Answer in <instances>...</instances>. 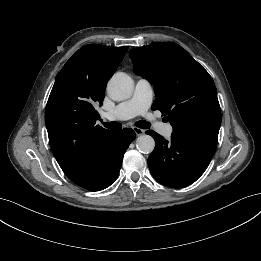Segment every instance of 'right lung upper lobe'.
<instances>
[{"label": "right lung upper lobe", "instance_id": "cb5924a9", "mask_svg": "<svg viewBox=\"0 0 261 261\" xmlns=\"http://www.w3.org/2000/svg\"><path fill=\"white\" fill-rule=\"evenodd\" d=\"M128 47L89 45L64 65L50 93L45 123L53 154L70 179L82 172L113 131L96 125L109 77Z\"/></svg>", "mask_w": 261, "mask_h": 261}]
</instances>
